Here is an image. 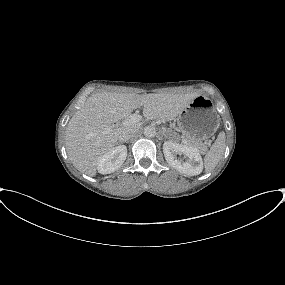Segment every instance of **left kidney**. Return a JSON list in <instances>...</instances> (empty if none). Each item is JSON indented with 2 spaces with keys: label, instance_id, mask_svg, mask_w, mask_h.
<instances>
[{
  "label": "left kidney",
  "instance_id": "5707ae66",
  "mask_svg": "<svg viewBox=\"0 0 285 285\" xmlns=\"http://www.w3.org/2000/svg\"><path fill=\"white\" fill-rule=\"evenodd\" d=\"M163 153L167 163L181 173L189 176L199 175L203 170V161L199 150L188 144H179L166 141L163 144ZM177 154H184L189 159L181 161Z\"/></svg>",
  "mask_w": 285,
  "mask_h": 285
}]
</instances>
